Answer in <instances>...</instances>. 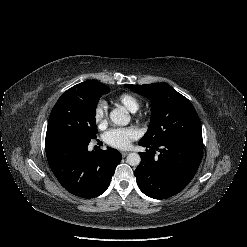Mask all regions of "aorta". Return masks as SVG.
Returning a JSON list of instances; mask_svg holds the SVG:
<instances>
[{"instance_id": "obj_1", "label": "aorta", "mask_w": 247, "mask_h": 247, "mask_svg": "<svg viewBox=\"0 0 247 247\" xmlns=\"http://www.w3.org/2000/svg\"><path fill=\"white\" fill-rule=\"evenodd\" d=\"M110 119L115 125L125 126L130 122V115L125 108L121 107L110 112ZM126 161L130 166H138L141 158L138 153H130L126 158Z\"/></svg>"}]
</instances>
